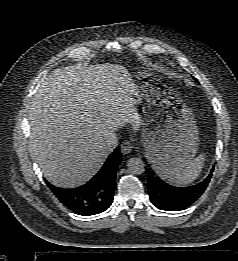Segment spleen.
Returning <instances> with one entry per match:
<instances>
[{
  "mask_svg": "<svg viewBox=\"0 0 238 261\" xmlns=\"http://www.w3.org/2000/svg\"><path fill=\"white\" fill-rule=\"evenodd\" d=\"M205 158V154H200L181 172L172 176L169 179V182L175 186H187L191 184L200 175L204 166Z\"/></svg>",
  "mask_w": 238,
  "mask_h": 261,
  "instance_id": "obj_1",
  "label": "spleen"
}]
</instances>
